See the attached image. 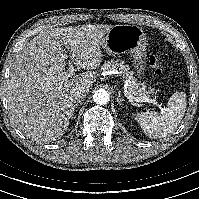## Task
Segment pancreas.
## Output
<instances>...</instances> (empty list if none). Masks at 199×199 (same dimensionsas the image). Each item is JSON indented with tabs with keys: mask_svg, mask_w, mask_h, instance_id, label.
Segmentation results:
<instances>
[{
	"mask_svg": "<svg viewBox=\"0 0 199 199\" xmlns=\"http://www.w3.org/2000/svg\"><path fill=\"white\" fill-rule=\"evenodd\" d=\"M103 70H119L120 73L127 79L128 91L136 96H145L147 91L139 87V83L134 79L133 73L129 71V67L123 61H108L103 64Z\"/></svg>",
	"mask_w": 199,
	"mask_h": 199,
	"instance_id": "1",
	"label": "pancreas"
}]
</instances>
